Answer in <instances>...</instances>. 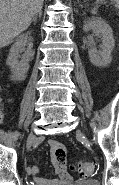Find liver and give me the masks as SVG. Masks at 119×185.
Returning <instances> with one entry per match:
<instances>
[{
  "label": "liver",
  "mask_w": 119,
  "mask_h": 185,
  "mask_svg": "<svg viewBox=\"0 0 119 185\" xmlns=\"http://www.w3.org/2000/svg\"><path fill=\"white\" fill-rule=\"evenodd\" d=\"M44 0H0V48L26 30Z\"/></svg>",
  "instance_id": "obj_1"
}]
</instances>
